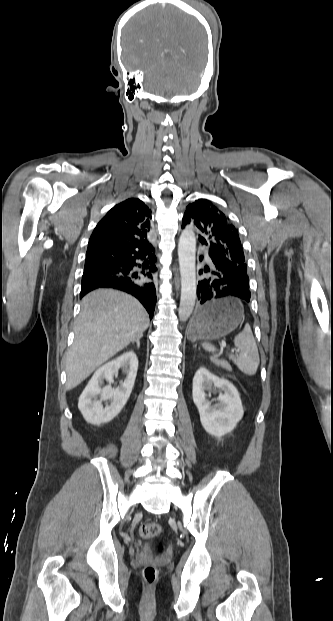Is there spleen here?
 I'll list each match as a JSON object with an SVG mask.
<instances>
[{"mask_svg": "<svg viewBox=\"0 0 333 621\" xmlns=\"http://www.w3.org/2000/svg\"><path fill=\"white\" fill-rule=\"evenodd\" d=\"M234 345L238 348L240 353L238 356L229 355V359L234 362L242 373L248 376L255 375L260 359L258 348L249 325H246L243 331L235 337ZM202 346L205 350L210 352L216 350V348L208 342H204Z\"/></svg>", "mask_w": 333, "mask_h": 621, "instance_id": "1", "label": "spleen"}]
</instances>
